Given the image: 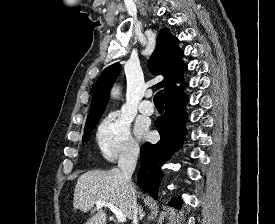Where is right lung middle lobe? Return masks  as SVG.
I'll return each mask as SVG.
<instances>
[{"instance_id":"dd1d6c3e","label":"right lung middle lobe","mask_w":275,"mask_h":224,"mask_svg":"<svg viewBox=\"0 0 275 224\" xmlns=\"http://www.w3.org/2000/svg\"><path fill=\"white\" fill-rule=\"evenodd\" d=\"M98 120H99V119H97V120H95V121H93V122H90V123H88V124L85 125L84 133H85V134L88 133V135H85V136L83 137V140H84V141H86V142L88 141L89 133L93 130V128H94V126L96 125V123L98 122Z\"/></svg>"}]
</instances>
